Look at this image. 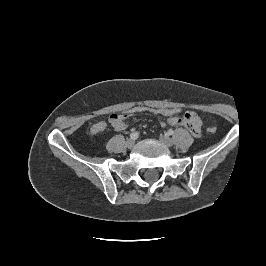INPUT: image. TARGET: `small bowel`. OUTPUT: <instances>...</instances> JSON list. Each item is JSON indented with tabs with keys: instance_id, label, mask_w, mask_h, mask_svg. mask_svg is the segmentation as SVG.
<instances>
[{
	"instance_id": "c3829d8e",
	"label": "small bowel",
	"mask_w": 266,
	"mask_h": 266,
	"mask_svg": "<svg viewBox=\"0 0 266 266\" xmlns=\"http://www.w3.org/2000/svg\"><path fill=\"white\" fill-rule=\"evenodd\" d=\"M167 122L172 126L185 127L195 137L201 133L202 120L198 114L192 111H188L182 116L169 117ZM111 125L117 131H123L127 127L124 119H118L116 122L111 123ZM162 125L164 126L165 124L162 123ZM106 126V122L98 121L91 126L90 133L92 135H98L106 129Z\"/></svg>"
}]
</instances>
